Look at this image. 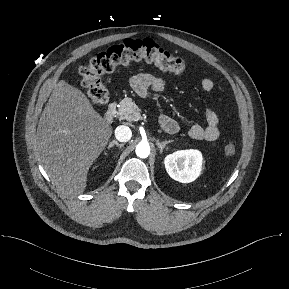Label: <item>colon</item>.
<instances>
[{
  "mask_svg": "<svg viewBox=\"0 0 289 289\" xmlns=\"http://www.w3.org/2000/svg\"><path fill=\"white\" fill-rule=\"evenodd\" d=\"M140 60L177 74L183 73L187 67L184 59L164 50L150 39L126 40L100 52L80 68L82 85L87 89L91 101L102 105L108 99V91L101 80L103 74L114 71L120 65ZM223 151L226 155H233L236 147L228 143Z\"/></svg>",
  "mask_w": 289,
  "mask_h": 289,
  "instance_id": "1",
  "label": "colon"
}]
</instances>
